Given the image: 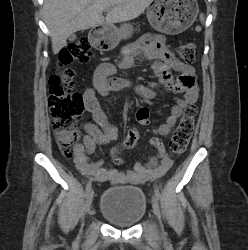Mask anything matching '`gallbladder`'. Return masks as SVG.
Segmentation results:
<instances>
[{
  "instance_id": "gallbladder-1",
  "label": "gallbladder",
  "mask_w": 248,
  "mask_h": 250,
  "mask_svg": "<svg viewBox=\"0 0 248 250\" xmlns=\"http://www.w3.org/2000/svg\"><path fill=\"white\" fill-rule=\"evenodd\" d=\"M76 34H71L69 37H68V39L70 40V41H73V40H75L76 39Z\"/></svg>"
}]
</instances>
